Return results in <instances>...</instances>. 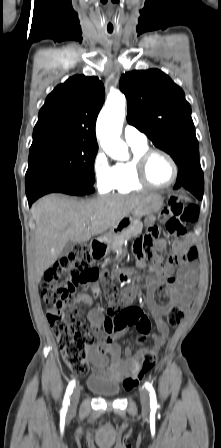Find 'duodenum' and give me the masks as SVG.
<instances>
[{
	"label": "duodenum",
	"mask_w": 221,
	"mask_h": 448,
	"mask_svg": "<svg viewBox=\"0 0 221 448\" xmlns=\"http://www.w3.org/2000/svg\"><path fill=\"white\" fill-rule=\"evenodd\" d=\"M108 240L105 237H99L92 241L90 246V254L94 259H102L106 255ZM126 275H122L121 279H126Z\"/></svg>",
	"instance_id": "1"
}]
</instances>
